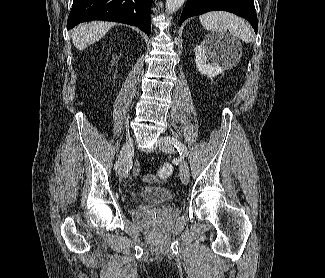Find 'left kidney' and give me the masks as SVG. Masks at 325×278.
Masks as SVG:
<instances>
[{"label":"left kidney","instance_id":"obj_1","mask_svg":"<svg viewBox=\"0 0 325 278\" xmlns=\"http://www.w3.org/2000/svg\"><path fill=\"white\" fill-rule=\"evenodd\" d=\"M230 55L232 48L226 39L221 36H207L195 49L196 66L201 74L213 78L224 73L225 59Z\"/></svg>","mask_w":325,"mask_h":278}]
</instances>
